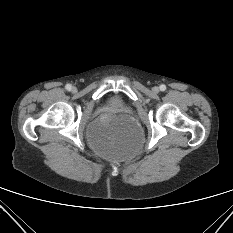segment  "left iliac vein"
Returning a JSON list of instances; mask_svg holds the SVG:
<instances>
[{
	"instance_id": "1",
	"label": "left iliac vein",
	"mask_w": 233,
	"mask_h": 233,
	"mask_svg": "<svg viewBox=\"0 0 233 233\" xmlns=\"http://www.w3.org/2000/svg\"><path fill=\"white\" fill-rule=\"evenodd\" d=\"M159 87H153V89H152V91L154 92V93H158L159 92Z\"/></svg>"
}]
</instances>
